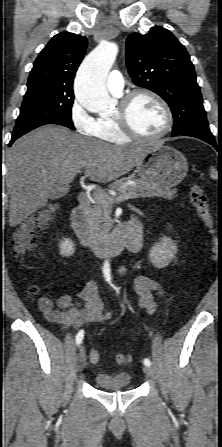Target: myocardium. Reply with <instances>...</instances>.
<instances>
[{
	"mask_svg": "<svg viewBox=\"0 0 222 447\" xmlns=\"http://www.w3.org/2000/svg\"><path fill=\"white\" fill-rule=\"evenodd\" d=\"M146 95L155 100L162 108L165 115V125L163 129L156 135L147 136L138 133L131 125L129 120V109L137 96ZM115 120L121 132L129 139L138 142H152L165 137L172 129L174 124V117L172 110L168 103L155 91L147 88L135 89L122 98L118 112L115 115Z\"/></svg>",
	"mask_w": 222,
	"mask_h": 447,
	"instance_id": "f54148a6",
	"label": "myocardium"
}]
</instances>
